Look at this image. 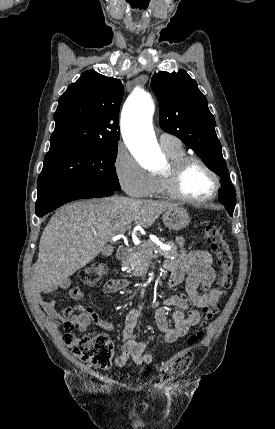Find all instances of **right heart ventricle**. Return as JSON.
Instances as JSON below:
<instances>
[{
    "label": "right heart ventricle",
    "mask_w": 275,
    "mask_h": 429,
    "mask_svg": "<svg viewBox=\"0 0 275 429\" xmlns=\"http://www.w3.org/2000/svg\"><path fill=\"white\" fill-rule=\"evenodd\" d=\"M163 150L170 158V160H173L185 155V151L182 148V146L175 149H163ZM151 195H166L160 175L154 176V187L151 192Z\"/></svg>",
    "instance_id": "e07e8e85"
}]
</instances>
